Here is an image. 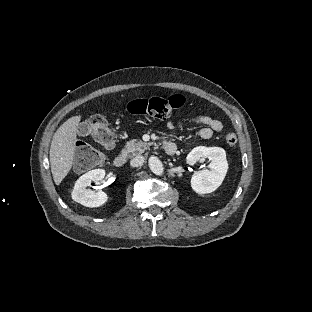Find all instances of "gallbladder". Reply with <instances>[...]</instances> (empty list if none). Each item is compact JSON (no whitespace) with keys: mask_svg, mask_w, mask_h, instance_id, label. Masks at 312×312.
Listing matches in <instances>:
<instances>
[{"mask_svg":"<svg viewBox=\"0 0 312 312\" xmlns=\"http://www.w3.org/2000/svg\"><path fill=\"white\" fill-rule=\"evenodd\" d=\"M88 124L87 123H80L78 125V129L77 132L80 136H85L86 134H88Z\"/></svg>","mask_w":312,"mask_h":312,"instance_id":"gallbladder-1","label":"gallbladder"}]
</instances>
